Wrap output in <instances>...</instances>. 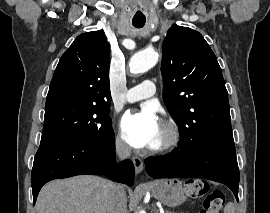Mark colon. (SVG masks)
I'll list each match as a JSON object with an SVG mask.
<instances>
[{"instance_id": "1", "label": "colon", "mask_w": 270, "mask_h": 213, "mask_svg": "<svg viewBox=\"0 0 270 213\" xmlns=\"http://www.w3.org/2000/svg\"><path fill=\"white\" fill-rule=\"evenodd\" d=\"M185 194L192 199H198L206 195L203 208L200 213H220L224 204L225 196L220 189L209 192L208 184L201 179H188L184 184Z\"/></svg>"}]
</instances>
